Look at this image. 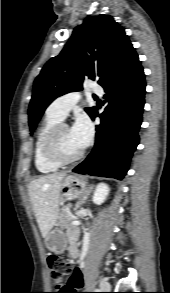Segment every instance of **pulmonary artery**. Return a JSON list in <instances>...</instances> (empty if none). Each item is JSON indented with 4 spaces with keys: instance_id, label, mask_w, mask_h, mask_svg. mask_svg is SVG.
Returning a JSON list of instances; mask_svg holds the SVG:
<instances>
[{
    "instance_id": "e3ab8cb5",
    "label": "pulmonary artery",
    "mask_w": 170,
    "mask_h": 293,
    "mask_svg": "<svg viewBox=\"0 0 170 293\" xmlns=\"http://www.w3.org/2000/svg\"><path fill=\"white\" fill-rule=\"evenodd\" d=\"M90 93L99 94L103 93L101 88H97ZM79 100V94L77 92H68L64 95L56 98L47 108L46 113L53 115L60 120H63L69 113L72 107H74Z\"/></svg>"
}]
</instances>
